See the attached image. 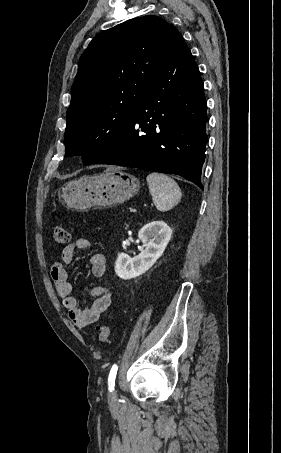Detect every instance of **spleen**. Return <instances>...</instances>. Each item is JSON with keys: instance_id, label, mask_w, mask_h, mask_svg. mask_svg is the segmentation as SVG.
Segmentation results:
<instances>
[{"instance_id": "3e777b00", "label": "spleen", "mask_w": 281, "mask_h": 453, "mask_svg": "<svg viewBox=\"0 0 281 453\" xmlns=\"http://www.w3.org/2000/svg\"><path fill=\"white\" fill-rule=\"evenodd\" d=\"M146 180L152 200L158 210H170L175 204H178L182 192L173 178L167 174H160V172H151Z\"/></svg>"}]
</instances>
